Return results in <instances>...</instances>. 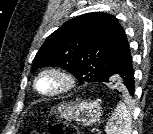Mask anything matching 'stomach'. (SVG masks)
Instances as JSON below:
<instances>
[{"instance_id":"stomach-1","label":"stomach","mask_w":153,"mask_h":134,"mask_svg":"<svg viewBox=\"0 0 153 134\" xmlns=\"http://www.w3.org/2000/svg\"><path fill=\"white\" fill-rule=\"evenodd\" d=\"M101 116V106L96 101H83L66 108H59L57 115L60 119L73 120L83 126L96 124Z\"/></svg>"}]
</instances>
